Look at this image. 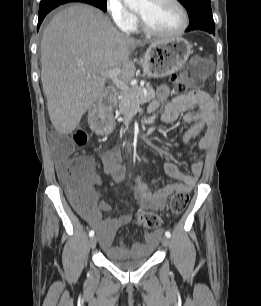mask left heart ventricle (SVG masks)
<instances>
[{"mask_svg": "<svg viewBox=\"0 0 261 306\" xmlns=\"http://www.w3.org/2000/svg\"><path fill=\"white\" fill-rule=\"evenodd\" d=\"M134 10L161 32H172L181 24L180 11L169 0H140Z\"/></svg>", "mask_w": 261, "mask_h": 306, "instance_id": "1", "label": "left heart ventricle"}]
</instances>
